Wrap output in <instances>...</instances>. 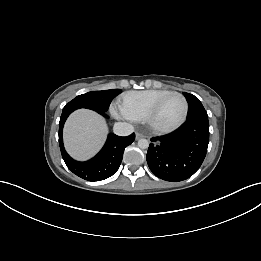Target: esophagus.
I'll use <instances>...</instances> for the list:
<instances>
[{
  "instance_id": "esophagus-1",
  "label": "esophagus",
  "mask_w": 261,
  "mask_h": 261,
  "mask_svg": "<svg viewBox=\"0 0 261 261\" xmlns=\"http://www.w3.org/2000/svg\"><path fill=\"white\" fill-rule=\"evenodd\" d=\"M144 137V135L143 134H141V133H136V140H139V139H141V138H143Z\"/></svg>"
}]
</instances>
